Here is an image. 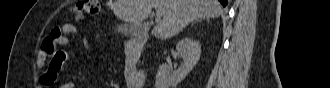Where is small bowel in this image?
I'll list each match as a JSON object with an SVG mask.
<instances>
[{"label":"small bowel","mask_w":330,"mask_h":88,"mask_svg":"<svg viewBox=\"0 0 330 88\" xmlns=\"http://www.w3.org/2000/svg\"><path fill=\"white\" fill-rule=\"evenodd\" d=\"M62 35L55 39L54 44L59 46H64L70 43L71 36L77 34L78 30L77 27L73 24L67 23L61 27ZM82 43L85 49L90 53L91 52V43L86 38H82ZM48 55V51L44 49L43 44L41 50L38 54L37 66L42 68L46 57ZM70 53L68 51H60L59 54L55 57L56 66H52V62L49 65L48 69L41 72L38 78L39 83L42 86H49L53 85L58 78L59 71L61 70L62 65L69 59ZM130 69V66L127 65V70ZM74 84L72 82H67L61 86V88H73Z\"/></svg>","instance_id":"c3829d8e"}]
</instances>
